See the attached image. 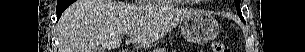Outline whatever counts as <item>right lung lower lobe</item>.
I'll use <instances>...</instances> for the list:
<instances>
[{
  "label": "right lung lower lobe",
  "mask_w": 305,
  "mask_h": 52,
  "mask_svg": "<svg viewBox=\"0 0 305 52\" xmlns=\"http://www.w3.org/2000/svg\"><path fill=\"white\" fill-rule=\"evenodd\" d=\"M74 0H58L57 1V20L60 18L63 11L71 4Z\"/></svg>",
  "instance_id": "98d812e1"
}]
</instances>
